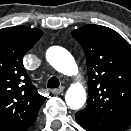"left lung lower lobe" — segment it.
<instances>
[{
    "label": "left lung lower lobe",
    "mask_w": 131,
    "mask_h": 131,
    "mask_svg": "<svg viewBox=\"0 0 131 131\" xmlns=\"http://www.w3.org/2000/svg\"><path fill=\"white\" fill-rule=\"evenodd\" d=\"M77 122L84 128L83 124L81 123V121L76 117ZM90 131V130H87Z\"/></svg>",
    "instance_id": "1"
}]
</instances>
